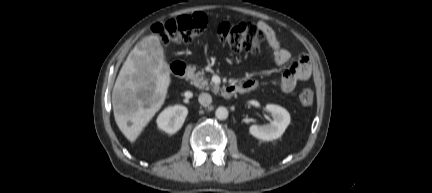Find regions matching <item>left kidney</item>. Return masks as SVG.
I'll use <instances>...</instances> for the list:
<instances>
[{
    "instance_id": "left-kidney-1",
    "label": "left kidney",
    "mask_w": 432,
    "mask_h": 193,
    "mask_svg": "<svg viewBox=\"0 0 432 193\" xmlns=\"http://www.w3.org/2000/svg\"><path fill=\"white\" fill-rule=\"evenodd\" d=\"M266 109L271 113L273 120L268 125H252L249 132L257 139L272 141L285 132L290 124V114L283 107L274 104H267Z\"/></svg>"
}]
</instances>
